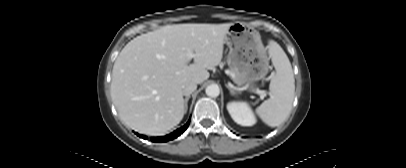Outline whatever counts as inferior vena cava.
<instances>
[{"mask_svg": "<svg viewBox=\"0 0 406 168\" xmlns=\"http://www.w3.org/2000/svg\"><path fill=\"white\" fill-rule=\"evenodd\" d=\"M197 89V84L195 82H187L182 87V93L184 96H190L192 92Z\"/></svg>", "mask_w": 406, "mask_h": 168, "instance_id": "602c4592", "label": "inferior vena cava"}]
</instances>
